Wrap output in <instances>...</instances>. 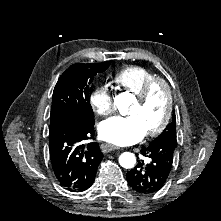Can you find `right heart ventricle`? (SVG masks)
<instances>
[{"mask_svg": "<svg viewBox=\"0 0 221 221\" xmlns=\"http://www.w3.org/2000/svg\"><path fill=\"white\" fill-rule=\"evenodd\" d=\"M158 78V75L148 68L132 65L122 68L114 73L111 81L118 88L138 95L150 80Z\"/></svg>", "mask_w": 221, "mask_h": 221, "instance_id": "right-heart-ventricle-1", "label": "right heart ventricle"}]
</instances>
